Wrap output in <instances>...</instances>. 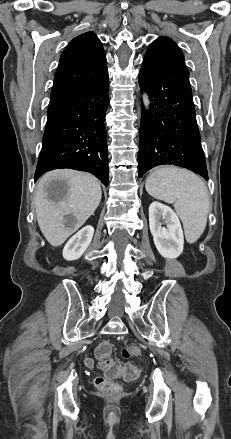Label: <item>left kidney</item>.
<instances>
[{
    "mask_svg": "<svg viewBox=\"0 0 231 439\" xmlns=\"http://www.w3.org/2000/svg\"><path fill=\"white\" fill-rule=\"evenodd\" d=\"M161 218L166 228L162 227ZM149 227L154 244L164 258L175 259L183 252L184 236L176 213L160 202H152L149 206Z\"/></svg>",
    "mask_w": 231,
    "mask_h": 439,
    "instance_id": "1",
    "label": "left kidney"
}]
</instances>
